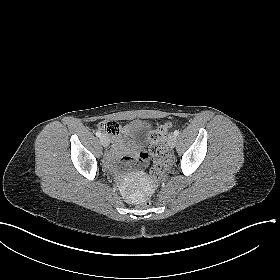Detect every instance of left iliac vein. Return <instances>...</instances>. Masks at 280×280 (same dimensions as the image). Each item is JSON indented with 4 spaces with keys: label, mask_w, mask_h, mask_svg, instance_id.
<instances>
[{
    "label": "left iliac vein",
    "mask_w": 280,
    "mask_h": 280,
    "mask_svg": "<svg viewBox=\"0 0 280 280\" xmlns=\"http://www.w3.org/2000/svg\"><path fill=\"white\" fill-rule=\"evenodd\" d=\"M176 145V136L174 134H171L168 137V146L172 149Z\"/></svg>",
    "instance_id": "1"
}]
</instances>
